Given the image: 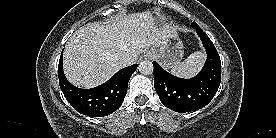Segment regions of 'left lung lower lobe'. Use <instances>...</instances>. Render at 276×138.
I'll list each match as a JSON object with an SVG mask.
<instances>
[{
	"mask_svg": "<svg viewBox=\"0 0 276 138\" xmlns=\"http://www.w3.org/2000/svg\"><path fill=\"white\" fill-rule=\"evenodd\" d=\"M193 28L207 52V61L198 75L190 79L178 78L153 62L154 87L161 102L180 113L205 107L215 96L221 82V61L214 44L195 22Z\"/></svg>",
	"mask_w": 276,
	"mask_h": 138,
	"instance_id": "obj_1",
	"label": "left lung lower lobe"
}]
</instances>
